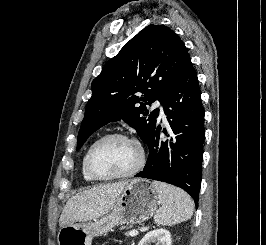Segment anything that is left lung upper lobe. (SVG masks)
I'll return each instance as SVG.
<instances>
[{"mask_svg":"<svg viewBox=\"0 0 266 245\" xmlns=\"http://www.w3.org/2000/svg\"><path fill=\"white\" fill-rule=\"evenodd\" d=\"M189 57L184 43L169 27L149 25L141 30L93 80L76 150L97 129L120 119L148 143L159 109L149 114L146 105L162 102Z\"/></svg>","mask_w":266,"mask_h":245,"instance_id":"1","label":"left lung upper lobe"}]
</instances>
